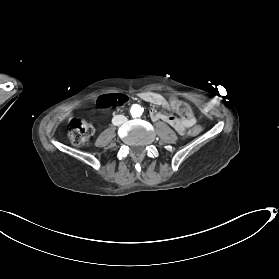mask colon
Segmentation results:
<instances>
[{
    "mask_svg": "<svg viewBox=\"0 0 279 279\" xmlns=\"http://www.w3.org/2000/svg\"><path fill=\"white\" fill-rule=\"evenodd\" d=\"M128 102V96L121 93L104 94L97 100V104L102 108H111L125 105ZM177 114L183 119L192 117V110L187 103L178 102L175 107ZM200 125L194 126L190 131V136H197L202 132ZM69 138L74 144H82L86 142L93 134L94 127L79 119H72L69 126Z\"/></svg>",
    "mask_w": 279,
    "mask_h": 279,
    "instance_id": "obj_1",
    "label": "colon"
}]
</instances>
